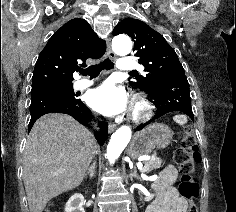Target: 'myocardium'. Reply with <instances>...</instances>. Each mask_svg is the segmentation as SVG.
<instances>
[{"mask_svg": "<svg viewBox=\"0 0 236 212\" xmlns=\"http://www.w3.org/2000/svg\"><path fill=\"white\" fill-rule=\"evenodd\" d=\"M153 112V105L144 97H136L131 109L132 122L139 124L149 119Z\"/></svg>", "mask_w": 236, "mask_h": 212, "instance_id": "f54148a6", "label": "myocardium"}]
</instances>
